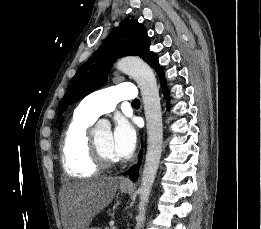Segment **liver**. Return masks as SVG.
Here are the masks:
<instances>
[{"instance_id":"6515ba94","label":"liver","mask_w":261,"mask_h":229,"mask_svg":"<svg viewBox=\"0 0 261 229\" xmlns=\"http://www.w3.org/2000/svg\"><path fill=\"white\" fill-rule=\"evenodd\" d=\"M121 177H100L69 183L64 197L65 227L88 229L92 219L110 205Z\"/></svg>"}]
</instances>
